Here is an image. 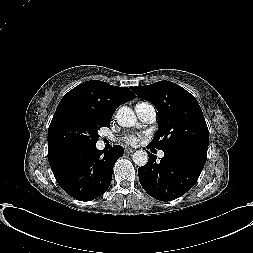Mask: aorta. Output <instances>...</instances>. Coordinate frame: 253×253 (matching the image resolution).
<instances>
[{"label": "aorta", "mask_w": 253, "mask_h": 253, "mask_svg": "<svg viewBox=\"0 0 253 253\" xmlns=\"http://www.w3.org/2000/svg\"><path fill=\"white\" fill-rule=\"evenodd\" d=\"M137 121L133 110L127 106L119 108L117 111V122L122 127H132ZM133 162L138 166H144L148 162V154L143 150H138L133 154Z\"/></svg>", "instance_id": "aorta-1"}]
</instances>
